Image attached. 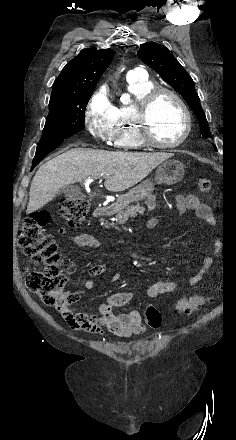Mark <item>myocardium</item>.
Segmentation results:
<instances>
[{"label":"myocardium","instance_id":"1","mask_svg":"<svg viewBox=\"0 0 236 440\" xmlns=\"http://www.w3.org/2000/svg\"><path fill=\"white\" fill-rule=\"evenodd\" d=\"M162 95L171 96L180 106L185 118V129L183 134L178 140L170 143H161L157 141L154 138L151 129L150 113L154 103ZM133 118L136 125L137 134L142 143L145 146L156 149H171L182 145L188 138L192 129V117L187 104L177 92L166 87H155L145 94L136 104Z\"/></svg>","mask_w":236,"mask_h":440}]
</instances>
